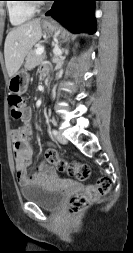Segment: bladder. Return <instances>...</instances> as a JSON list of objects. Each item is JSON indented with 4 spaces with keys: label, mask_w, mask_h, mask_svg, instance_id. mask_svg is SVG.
Masks as SVG:
<instances>
[{
    "label": "bladder",
    "mask_w": 133,
    "mask_h": 253,
    "mask_svg": "<svg viewBox=\"0 0 133 253\" xmlns=\"http://www.w3.org/2000/svg\"><path fill=\"white\" fill-rule=\"evenodd\" d=\"M23 200L37 204L42 209L53 211L61 205L64 193L43 184H30L21 187Z\"/></svg>",
    "instance_id": "bladder-1"
}]
</instances>
